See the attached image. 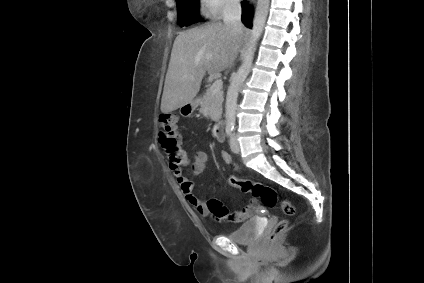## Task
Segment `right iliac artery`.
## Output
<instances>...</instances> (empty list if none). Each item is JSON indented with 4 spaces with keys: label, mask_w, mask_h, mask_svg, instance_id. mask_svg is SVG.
Wrapping results in <instances>:
<instances>
[{
    "label": "right iliac artery",
    "mask_w": 424,
    "mask_h": 283,
    "mask_svg": "<svg viewBox=\"0 0 424 283\" xmlns=\"http://www.w3.org/2000/svg\"><path fill=\"white\" fill-rule=\"evenodd\" d=\"M233 130H234V127L233 126H227L226 127V135H227V137H231L232 136Z\"/></svg>",
    "instance_id": "1"
}]
</instances>
